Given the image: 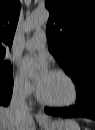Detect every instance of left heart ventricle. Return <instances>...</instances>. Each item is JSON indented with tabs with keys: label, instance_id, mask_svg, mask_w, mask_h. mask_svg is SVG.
Returning <instances> with one entry per match:
<instances>
[{
	"label": "left heart ventricle",
	"instance_id": "b2bd125f",
	"mask_svg": "<svg viewBox=\"0 0 95 130\" xmlns=\"http://www.w3.org/2000/svg\"><path fill=\"white\" fill-rule=\"evenodd\" d=\"M39 89L46 99L54 102H68L73 97V89L68 80L54 73L49 74Z\"/></svg>",
	"mask_w": 95,
	"mask_h": 130
}]
</instances>
